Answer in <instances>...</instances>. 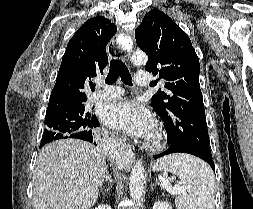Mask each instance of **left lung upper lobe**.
Returning <instances> with one entry per match:
<instances>
[{
	"instance_id": "obj_1",
	"label": "left lung upper lobe",
	"mask_w": 253,
	"mask_h": 209,
	"mask_svg": "<svg viewBox=\"0 0 253 209\" xmlns=\"http://www.w3.org/2000/svg\"><path fill=\"white\" fill-rule=\"evenodd\" d=\"M137 46L148 55L145 69L164 79L165 90L152 97L171 148L211 154L199 84V59L189 37L165 13L151 10L135 30Z\"/></svg>"
}]
</instances>
